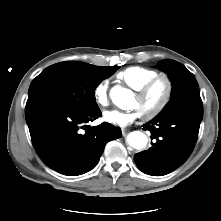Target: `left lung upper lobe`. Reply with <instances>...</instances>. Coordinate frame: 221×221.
Returning a JSON list of instances; mask_svg holds the SVG:
<instances>
[{
    "label": "left lung upper lobe",
    "instance_id": "1",
    "mask_svg": "<svg viewBox=\"0 0 221 221\" xmlns=\"http://www.w3.org/2000/svg\"><path fill=\"white\" fill-rule=\"evenodd\" d=\"M158 68L168 74L173 84L171 99L158 116L187 107L192 102L201 101L195 76L183 64L165 59L159 62Z\"/></svg>",
    "mask_w": 221,
    "mask_h": 221
}]
</instances>
